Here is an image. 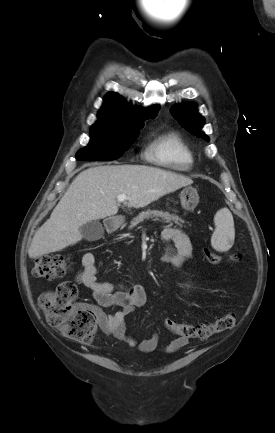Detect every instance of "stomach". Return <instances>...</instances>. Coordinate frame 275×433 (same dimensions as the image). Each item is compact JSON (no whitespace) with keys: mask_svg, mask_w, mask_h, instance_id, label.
Listing matches in <instances>:
<instances>
[{"mask_svg":"<svg viewBox=\"0 0 275 433\" xmlns=\"http://www.w3.org/2000/svg\"><path fill=\"white\" fill-rule=\"evenodd\" d=\"M181 206L186 211H193L199 203V195L195 188L185 187L180 193ZM116 224H120L121 220H115Z\"/></svg>","mask_w":275,"mask_h":433,"instance_id":"stomach-1","label":"stomach"}]
</instances>
